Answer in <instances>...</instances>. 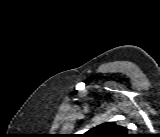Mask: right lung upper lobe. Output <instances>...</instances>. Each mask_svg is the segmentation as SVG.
<instances>
[{"label":"right lung upper lobe","instance_id":"obj_1","mask_svg":"<svg viewBox=\"0 0 160 137\" xmlns=\"http://www.w3.org/2000/svg\"><path fill=\"white\" fill-rule=\"evenodd\" d=\"M85 134L91 137H123L127 135V129L114 122H106L90 129Z\"/></svg>","mask_w":160,"mask_h":137}]
</instances>
